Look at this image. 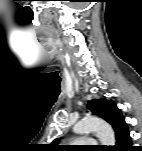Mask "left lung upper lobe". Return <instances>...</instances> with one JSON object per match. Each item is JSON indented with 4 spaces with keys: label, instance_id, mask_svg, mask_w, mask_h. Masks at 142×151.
Instances as JSON below:
<instances>
[{
    "label": "left lung upper lobe",
    "instance_id": "left-lung-upper-lobe-1",
    "mask_svg": "<svg viewBox=\"0 0 142 151\" xmlns=\"http://www.w3.org/2000/svg\"><path fill=\"white\" fill-rule=\"evenodd\" d=\"M88 108L92 114L103 118L105 121L111 124L115 131L116 137L128 128L121 110L117 108L114 101L106 99H94L92 101H88ZM57 142L58 139L55 140L52 145L56 144Z\"/></svg>",
    "mask_w": 142,
    "mask_h": 151
}]
</instances>
